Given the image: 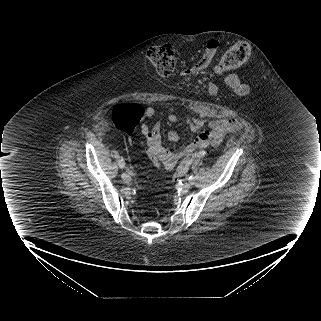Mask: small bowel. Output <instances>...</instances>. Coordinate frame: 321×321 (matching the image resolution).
Returning <instances> with one entry per match:
<instances>
[{"label":"small bowel","instance_id":"small-bowel-1","mask_svg":"<svg viewBox=\"0 0 321 321\" xmlns=\"http://www.w3.org/2000/svg\"><path fill=\"white\" fill-rule=\"evenodd\" d=\"M219 49V41L216 39H210L205 46L204 52L201 57L189 68L184 71L185 76L196 74L209 66L211 61L214 59ZM253 78L250 75L244 77L243 82L236 76L231 75L226 78V83L232 88L234 94H247L249 88L252 85ZM206 89L209 94L216 92V84L214 82H208ZM157 110L153 107L146 109V117L152 118L156 115ZM166 118L170 122L182 121L185 123L192 132H198L204 126V119L201 117L183 118L177 111L171 110L166 115ZM242 125L240 122L228 118L220 117L211 120L208 123V132L210 135L209 144L212 146H219L223 143L225 137L229 133L237 132L241 129ZM141 132L146 136L147 141V152L156 166H162L166 170H172L178 161L191 153L196 148V139L182 147L177 151H171L163 145L162 138L160 135V124H156L154 127H150L147 124L141 126ZM202 134V133H201ZM169 141L176 143L180 140V135L177 131H169Z\"/></svg>","mask_w":321,"mask_h":321}]
</instances>
